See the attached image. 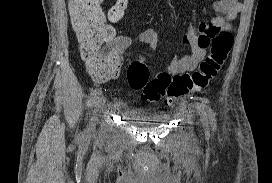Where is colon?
<instances>
[{
    "instance_id": "obj_1",
    "label": "colon",
    "mask_w": 272,
    "mask_h": 183,
    "mask_svg": "<svg viewBox=\"0 0 272 183\" xmlns=\"http://www.w3.org/2000/svg\"><path fill=\"white\" fill-rule=\"evenodd\" d=\"M102 3L103 0H69L71 23L81 57L90 74L97 79L106 78L110 70L119 64V56L111 42L113 32L102 12ZM126 7L127 0H117L108 13V19L113 22L121 20ZM212 35L213 38L208 42L210 53L196 71L174 76L160 73L150 78L146 64L136 60L127 70L129 86L141 92L145 101L158 102L165 98L166 103L206 89L226 62L233 44V37L229 32Z\"/></svg>"
}]
</instances>
